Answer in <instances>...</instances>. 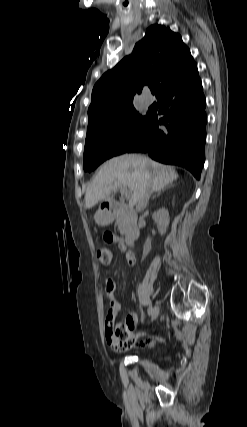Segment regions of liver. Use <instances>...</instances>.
I'll return each mask as SVG.
<instances>
[{
  "mask_svg": "<svg viewBox=\"0 0 247 427\" xmlns=\"http://www.w3.org/2000/svg\"><path fill=\"white\" fill-rule=\"evenodd\" d=\"M178 178L175 168L155 162L145 156L126 154L105 162L87 187L86 208L94 207L100 201H111L112 192L128 187L132 191L133 204L147 188L160 191Z\"/></svg>",
  "mask_w": 247,
  "mask_h": 427,
  "instance_id": "6515ba94",
  "label": "liver"
}]
</instances>
